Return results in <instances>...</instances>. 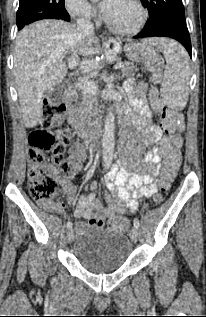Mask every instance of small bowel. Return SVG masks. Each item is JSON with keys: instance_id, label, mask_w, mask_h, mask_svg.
<instances>
[{"instance_id": "1", "label": "small bowel", "mask_w": 206, "mask_h": 317, "mask_svg": "<svg viewBox=\"0 0 206 317\" xmlns=\"http://www.w3.org/2000/svg\"><path fill=\"white\" fill-rule=\"evenodd\" d=\"M147 90L145 83L136 84L133 79L126 84L132 102V110L128 111L122 131L120 165L113 166L105 176L108 189L115 194V199L107 198L108 207L103 208L94 194L80 195L75 211V217L85 219L90 226L101 227L106 219H115L127 210L133 212L138 208L139 200L157 193L156 177L162 159L182 146V137L178 134H168L154 125L151 120V109L160 112L163 104L159 99L157 89L149 91L150 107L144 97ZM141 145L151 148L144 151ZM71 157L79 170L80 160L84 151L79 144H74ZM135 156L137 160H134ZM52 174L60 183L69 201L73 202L75 190L71 182L60 177L54 169ZM97 183H91L90 189H96ZM41 206L49 212L62 214L64 205L55 200L41 201ZM76 229L82 233L86 225L78 223Z\"/></svg>"}]
</instances>
